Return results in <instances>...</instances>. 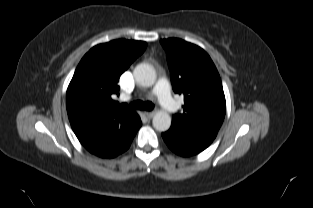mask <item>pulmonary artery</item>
<instances>
[{
  "label": "pulmonary artery",
  "mask_w": 313,
  "mask_h": 208,
  "mask_svg": "<svg viewBox=\"0 0 313 208\" xmlns=\"http://www.w3.org/2000/svg\"><path fill=\"white\" fill-rule=\"evenodd\" d=\"M152 94L157 96L160 105L168 113H172L177 109V104L171 97L170 86L166 79L160 78L157 81Z\"/></svg>",
  "instance_id": "e3ab8cb5"
}]
</instances>
